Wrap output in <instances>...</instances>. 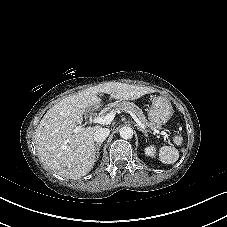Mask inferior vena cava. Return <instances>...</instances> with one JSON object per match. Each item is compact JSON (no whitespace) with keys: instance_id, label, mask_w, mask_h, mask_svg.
Returning a JSON list of instances; mask_svg holds the SVG:
<instances>
[{"instance_id":"1","label":"inferior vena cava","mask_w":227,"mask_h":227,"mask_svg":"<svg viewBox=\"0 0 227 227\" xmlns=\"http://www.w3.org/2000/svg\"><path fill=\"white\" fill-rule=\"evenodd\" d=\"M110 134L108 128H99L93 134V140L97 143H102Z\"/></svg>"}]
</instances>
